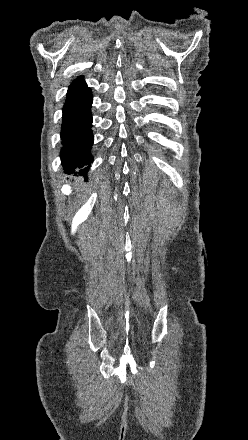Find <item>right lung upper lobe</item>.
I'll use <instances>...</instances> for the list:
<instances>
[{
    "instance_id": "right-lung-upper-lobe-1",
    "label": "right lung upper lobe",
    "mask_w": 248,
    "mask_h": 440,
    "mask_svg": "<svg viewBox=\"0 0 248 440\" xmlns=\"http://www.w3.org/2000/svg\"><path fill=\"white\" fill-rule=\"evenodd\" d=\"M81 82H83V79H82V77H79L78 79H76L75 81L72 82L71 86L72 85H76V84L81 83Z\"/></svg>"
}]
</instances>
